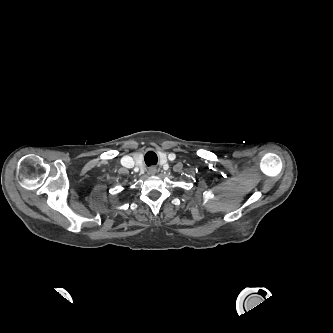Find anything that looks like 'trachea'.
<instances>
[{
    "mask_svg": "<svg viewBox=\"0 0 333 333\" xmlns=\"http://www.w3.org/2000/svg\"><path fill=\"white\" fill-rule=\"evenodd\" d=\"M144 160L147 166L156 165L158 157L153 151H149L145 154Z\"/></svg>",
    "mask_w": 333,
    "mask_h": 333,
    "instance_id": "trachea-1",
    "label": "trachea"
}]
</instances>
